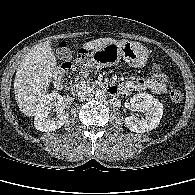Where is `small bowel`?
Returning <instances> with one entry per match:
<instances>
[{"label":"small bowel","instance_id":"small-bowel-1","mask_svg":"<svg viewBox=\"0 0 195 195\" xmlns=\"http://www.w3.org/2000/svg\"><path fill=\"white\" fill-rule=\"evenodd\" d=\"M120 89L125 94L133 91L149 90L157 95H165L168 91L166 81H159L151 77H134L123 82Z\"/></svg>","mask_w":195,"mask_h":195}]
</instances>
